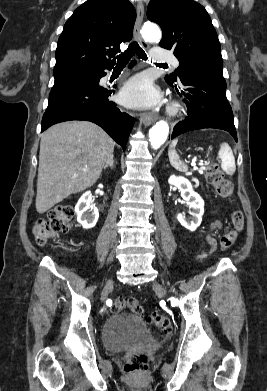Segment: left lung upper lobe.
<instances>
[{"instance_id": "1", "label": "left lung upper lobe", "mask_w": 267, "mask_h": 391, "mask_svg": "<svg viewBox=\"0 0 267 391\" xmlns=\"http://www.w3.org/2000/svg\"><path fill=\"white\" fill-rule=\"evenodd\" d=\"M147 17L162 29L159 45L173 50L180 66L165 79L175 83L192 72L222 74L221 47L204 7L193 0H151Z\"/></svg>"}]
</instances>
